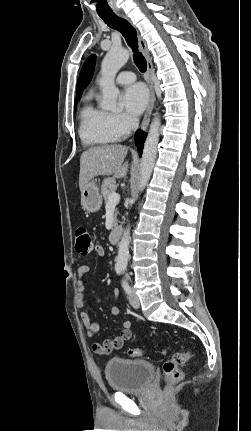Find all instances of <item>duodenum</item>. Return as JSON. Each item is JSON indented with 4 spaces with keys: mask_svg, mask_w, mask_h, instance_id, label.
Instances as JSON below:
<instances>
[{
    "mask_svg": "<svg viewBox=\"0 0 251 431\" xmlns=\"http://www.w3.org/2000/svg\"><path fill=\"white\" fill-rule=\"evenodd\" d=\"M122 234V227L120 225H115L110 234V242L116 244L119 242Z\"/></svg>",
    "mask_w": 251,
    "mask_h": 431,
    "instance_id": "duodenum-1",
    "label": "duodenum"
}]
</instances>
